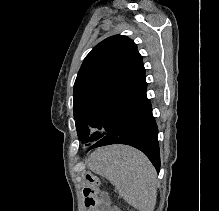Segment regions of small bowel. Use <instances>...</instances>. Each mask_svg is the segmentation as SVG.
Wrapping results in <instances>:
<instances>
[{
  "label": "small bowel",
  "instance_id": "small-bowel-1",
  "mask_svg": "<svg viewBox=\"0 0 219 211\" xmlns=\"http://www.w3.org/2000/svg\"><path fill=\"white\" fill-rule=\"evenodd\" d=\"M102 199L100 202V206L97 209V211H116L115 209L112 208L111 202L109 198L106 196V194H102Z\"/></svg>",
  "mask_w": 219,
  "mask_h": 211
}]
</instances>
